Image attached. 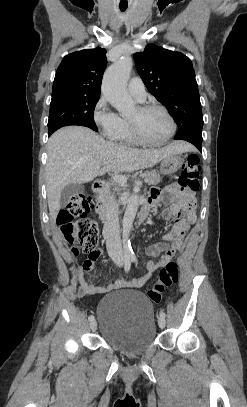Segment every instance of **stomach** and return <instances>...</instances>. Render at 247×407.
Masks as SVG:
<instances>
[{
    "label": "stomach",
    "instance_id": "stomach-1",
    "mask_svg": "<svg viewBox=\"0 0 247 407\" xmlns=\"http://www.w3.org/2000/svg\"><path fill=\"white\" fill-rule=\"evenodd\" d=\"M184 159L179 154L170 155L164 158L160 165V171L164 175L177 172L183 165Z\"/></svg>",
    "mask_w": 247,
    "mask_h": 407
}]
</instances>
